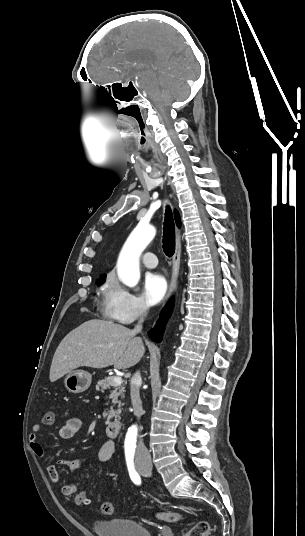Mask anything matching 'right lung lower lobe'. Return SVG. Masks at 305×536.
Masks as SVG:
<instances>
[{
    "label": "right lung lower lobe",
    "mask_w": 305,
    "mask_h": 536,
    "mask_svg": "<svg viewBox=\"0 0 305 536\" xmlns=\"http://www.w3.org/2000/svg\"><path fill=\"white\" fill-rule=\"evenodd\" d=\"M173 309V301H170L166 307L163 309V311L160 314V319L158 320L155 328L151 329L148 334L150 338L155 342H161L162 335L165 329V323L167 322V319L169 318L171 312Z\"/></svg>",
    "instance_id": "98d812e1"
}]
</instances>
